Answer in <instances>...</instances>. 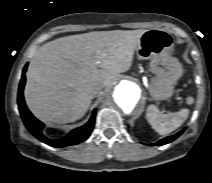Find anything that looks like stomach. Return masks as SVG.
I'll use <instances>...</instances> for the list:
<instances>
[{"label":"stomach","mask_w":212,"mask_h":183,"mask_svg":"<svg viewBox=\"0 0 212 183\" xmlns=\"http://www.w3.org/2000/svg\"><path fill=\"white\" fill-rule=\"evenodd\" d=\"M174 47L172 35L164 29H149L144 32L136 48L141 60H150L151 78L149 91L153 100L169 99L174 86L182 76L183 69L177 58L171 56Z\"/></svg>","instance_id":"0dacf381"}]
</instances>
